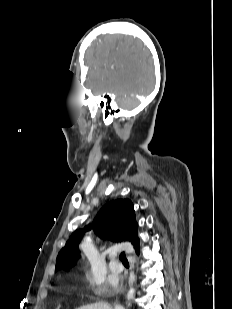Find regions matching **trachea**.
<instances>
[{
    "instance_id": "3493384b",
    "label": "trachea",
    "mask_w": 232,
    "mask_h": 309,
    "mask_svg": "<svg viewBox=\"0 0 232 309\" xmlns=\"http://www.w3.org/2000/svg\"><path fill=\"white\" fill-rule=\"evenodd\" d=\"M120 260L122 261V263L123 264H128V260H127V258H126V254H125V252H122L121 254H120Z\"/></svg>"
}]
</instances>
